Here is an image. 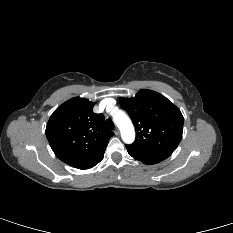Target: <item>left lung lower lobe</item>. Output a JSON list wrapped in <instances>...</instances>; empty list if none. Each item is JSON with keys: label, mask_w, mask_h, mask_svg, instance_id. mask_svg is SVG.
I'll return each instance as SVG.
<instances>
[{"label": "left lung lower lobe", "mask_w": 233, "mask_h": 233, "mask_svg": "<svg viewBox=\"0 0 233 233\" xmlns=\"http://www.w3.org/2000/svg\"><path fill=\"white\" fill-rule=\"evenodd\" d=\"M128 153L136 160H139L145 164L153 165L159 163L166 158H168L171 153L165 152H155V151H148V150H141L137 148H132L126 145Z\"/></svg>", "instance_id": "obj_1"}]
</instances>
